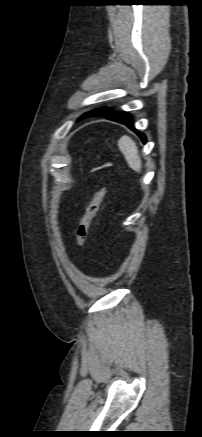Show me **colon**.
Returning a JSON list of instances; mask_svg holds the SVG:
<instances>
[{
    "instance_id": "1",
    "label": "colon",
    "mask_w": 202,
    "mask_h": 437,
    "mask_svg": "<svg viewBox=\"0 0 202 437\" xmlns=\"http://www.w3.org/2000/svg\"><path fill=\"white\" fill-rule=\"evenodd\" d=\"M106 194L107 188L102 186L95 192L94 196L87 203L85 213L75 231V239L78 247L83 246V244L86 242L92 219L98 212L99 206Z\"/></svg>"
}]
</instances>
